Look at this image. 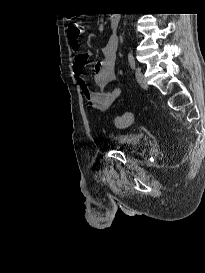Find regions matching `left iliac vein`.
Returning a JSON list of instances; mask_svg holds the SVG:
<instances>
[{
    "label": "left iliac vein",
    "mask_w": 205,
    "mask_h": 273,
    "mask_svg": "<svg viewBox=\"0 0 205 273\" xmlns=\"http://www.w3.org/2000/svg\"><path fill=\"white\" fill-rule=\"evenodd\" d=\"M135 76H136V79H137V82L139 83V85L142 88H147L146 78L144 77V75L140 69H136Z\"/></svg>",
    "instance_id": "obj_1"
}]
</instances>
